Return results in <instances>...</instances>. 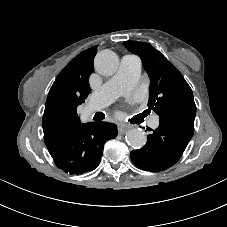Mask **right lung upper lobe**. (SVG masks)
<instances>
[{"instance_id":"1","label":"right lung upper lobe","mask_w":227,"mask_h":227,"mask_svg":"<svg viewBox=\"0 0 227 227\" xmlns=\"http://www.w3.org/2000/svg\"><path fill=\"white\" fill-rule=\"evenodd\" d=\"M96 47L89 48L73 58L58 74L50 88L42 120L46 146L84 124L81 123L76 109L78 105L85 102L91 91L89 76L94 70ZM58 110L65 111L69 119L58 122L55 119V113Z\"/></svg>"}]
</instances>
